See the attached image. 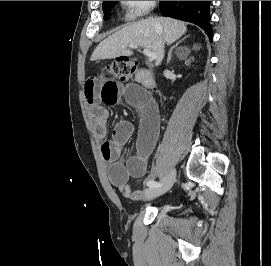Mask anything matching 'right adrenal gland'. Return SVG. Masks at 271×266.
<instances>
[{"label": "right adrenal gland", "instance_id": "obj_1", "mask_svg": "<svg viewBox=\"0 0 271 266\" xmlns=\"http://www.w3.org/2000/svg\"><path fill=\"white\" fill-rule=\"evenodd\" d=\"M187 37H188V36H185L184 38H182L180 41H178V42L176 43V45H174V46L170 49V51H169V53H168L167 63H170L173 49L176 48V47H177L184 39H186Z\"/></svg>", "mask_w": 271, "mask_h": 266}]
</instances>
